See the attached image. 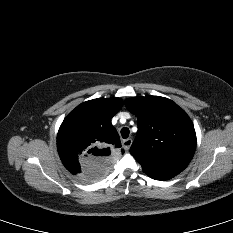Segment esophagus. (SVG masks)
<instances>
[{"instance_id": "esophagus-1", "label": "esophagus", "mask_w": 233, "mask_h": 233, "mask_svg": "<svg viewBox=\"0 0 233 233\" xmlns=\"http://www.w3.org/2000/svg\"><path fill=\"white\" fill-rule=\"evenodd\" d=\"M132 139L131 138H128V139H125V140H123V142H122V145H123V148L125 149V150H129V148L131 147V145H132Z\"/></svg>"}]
</instances>
